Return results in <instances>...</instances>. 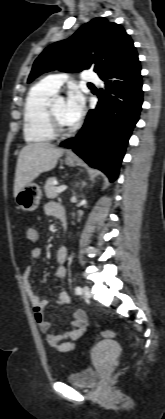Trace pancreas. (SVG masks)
I'll use <instances>...</instances> for the list:
<instances>
[{"instance_id": "cf45deb5", "label": "pancreas", "mask_w": 165, "mask_h": 419, "mask_svg": "<svg viewBox=\"0 0 165 419\" xmlns=\"http://www.w3.org/2000/svg\"><path fill=\"white\" fill-rule=\"evenodd\" d=\"M56 180V177H50L47 179L44 189L45 194L48 198H55L58 196L57 192V186L54 185V181Z\"/></svg>"}]
</instances>
